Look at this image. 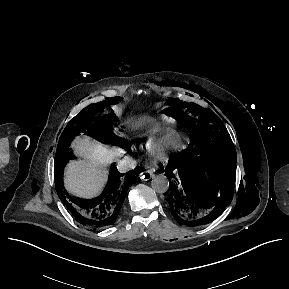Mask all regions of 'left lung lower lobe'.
Instances as JSON below:
<instances>
[{
    "label": "left lung lower lobe",
    "mask_w": 289,
    "mask_h": 289,
    "mask_svg": "<svg viewBox=\"0 0 289 289\" xmlns=\"http://www.w3.org/2000/svg\"><path fill=\"white\" fill-rule=\"evenodd\" d=\"M200 164L206 165L214 179L212 183L202 175ZM165 173L171 190L166 200L181 225L198 226L212 222L232 199L236 165L219 168L210 146L194 148L190 145L169 160Z\"/></svg>",
    "instance_id": "1"
}]
</instances>
